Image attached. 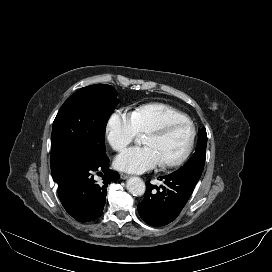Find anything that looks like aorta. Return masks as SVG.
Here are the masks:
<instances>
[{
  "label": "aorta",
  "mask_w": 272,
  "mask_h": 272,
  "mask_svg": "<svg viewBox=\"0 0 272 272\" xmlns=\"http://www.w3.org/2000/svg\"><path fill=\"white\" fill-rule=\"evenodd\" d=\"M126 188L133 196H141L146 190L145 183L139 177L129 178L126 182Z\"/></svg>",
  "instance_id": "aorta-1"
}]
</instances>
